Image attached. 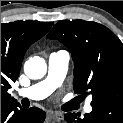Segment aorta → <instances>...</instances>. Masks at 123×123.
<instances>
[{"label":"aorta","mask_w":123,"mask_h":123,"mask_svg":"<svg viewBox=\"0 0 123 123\" xmlns=\"http://www.w3.org/2000/svg\"><path fill=\"white\" fill-rule=\"evenodd\" d=\"M47 71L44 59L35 56L27 60L24 64V72L30 79H41Z\"/></svg>","instance_id":"aorta-1"}]
</instances>
